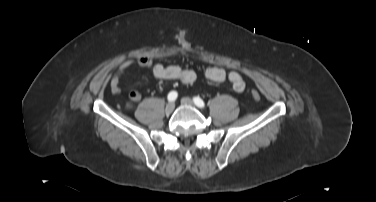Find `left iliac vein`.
<instances>
[{
  "mask_svg": "<svg viewBox=\"0 0 376 202\" xmlns=\"http://www.w3.org/2000/svg\"><path fill=\"white\" fill-rule=\"evenodd\" d=\"M181 103L184 104V105H188V106H194V102L193 100H191L190 98L188 97H183L181 99Z\"/></svg>",
  "mask_w": 376,
  "mask_h": 202,
  "instance_id": "4c4485c4",
  "label": "left iliac vein"
}]
</instances>
